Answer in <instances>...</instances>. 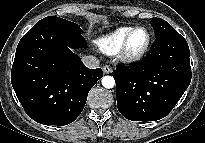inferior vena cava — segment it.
Returning a JSON list of instances; mask_svg holds the SVG:
<instances>
[{
    "instance_id": "inferior-vena-cava-1",
    "label": "inferior vena cava",
    "mask_w": 205,
    "mask_h": 143,
    "mask_svg": "<svg viewBox=\"0 0 205 143\" xmlns=\"http://www.w3.org/2000/svg\"><path fill=\"white\" fill-rule=\"evenodd\" d=\"M82 62L84 65L90 69H96L99 66V60L95 56H83Z\"/></svg>"
}]
</instances>
